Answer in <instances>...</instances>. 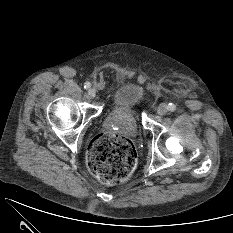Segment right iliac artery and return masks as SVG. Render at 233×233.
<instances>
[{"mask_svg": "<svg viewBox=\"0 0 233 233\" xmlns=\"http://www.w3.org/2000/svg\"><path fill=\"white\" fill-rule=\"evenodd\" d=\"M91 87V83L90 82H85L84 83V88L85 89H89Z\"/></svg>", "mask_w": 233, "mask_h": 233, "instance_id": "right-iliac-artery-1", "label": "right iliac artery"}]
</instances>
